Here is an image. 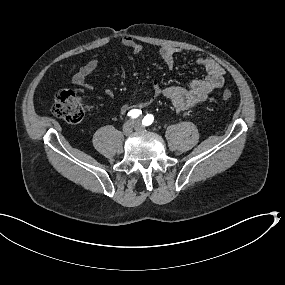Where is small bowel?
<instances>
[{
  "instance_id": "small-bowel-1",
  "label": "small bowel",
  "mask_w": 285,
  "mask_h": 285,
  "mask_svg": "<svg viewBox=\"0 0 285 285\" xmlns=\"http://www.w3.org/2000/svg\"><path fill=\"white\" fill-rule=\"evenodd\" d=\"M121 45L130 49L135 54H140L143 50V46L131 37H124L121 40ZM180 52L177 48L164 47L160 50V56L168 66H172L175 56ZM196 61L205 71V75L202 78L191 80L188 87H161L159 83L154 82L149 99L133 105L124 104L120 108V111L126 113L132 108L146 107L160 94L168 98L177 111L192 108L206 101L211 92L223 86L225 71L215 60L209 57H197ZM98 65L99 62L95 59L89 61L73 75L72 82L83 89H93V85L87 81V78L97 70ZM106 95L112 97L114 95L113 90L107 89Z\"/></svg>"
}]
</instances>
